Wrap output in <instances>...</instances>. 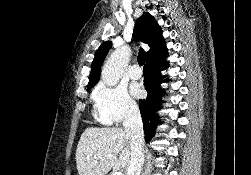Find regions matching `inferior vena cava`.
Listing matches in <instances>:
<instances>
[{"instance_id":"602c4592","label":"inferior vena cava","mask_w":251,"mask_h":175,"mask_svg":"<svg viewBox=\"0 0 251 175\" xmlns=\"http://www.w3.org/2000/svg\"><path fill=\"white\" fill-rule=\"evenodd\" d=\"M123 127L130 135L131 159L127 175H140L144 163V131L142 117L137 105H128L125 109Z\"/></svg>"}]
</instances>
